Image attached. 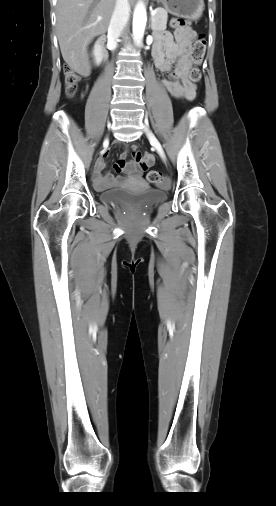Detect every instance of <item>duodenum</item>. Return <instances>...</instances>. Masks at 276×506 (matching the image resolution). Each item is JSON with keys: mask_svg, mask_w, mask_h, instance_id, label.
I'll return each instance as SVG.
<instances>
[{"mask_svg": "<svg viewBox=\"0 0 276 506\" xmlns=\"http://www.w3.org/2000/svg\"><path fill=\"white\" fill-rule=\"evenodd\" d=\"M103 43H104V40H102V41L99 43V46H98V51H99V54H100V56H101L102 60L104 61V60H106V58H107V54H106V50H105V48H104V46H103Z\"/></svg>", "mask_w": 276, "mask_h": 506, "instance_id": "obj_1", "label": "duodenum"}]
</instances>
